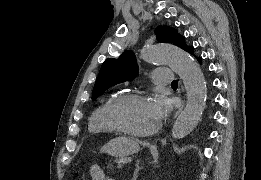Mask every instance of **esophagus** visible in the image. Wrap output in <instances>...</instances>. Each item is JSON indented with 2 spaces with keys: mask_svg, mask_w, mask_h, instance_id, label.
I'll use <instances>...</instances> for the list:
<instances>
[{
  "mask_svg": "<svg viewBox=\"0 0 261 180\" xmlns=\"http://www.w3.org/2000/svg\"><path fill=\"white\" fill-rule=\"evenodd\" d=\"M183 106H184V101L182 102V105H181V107L179 108L178 112L182 110ZM178 112H177V113H178Z\"/></svg>",
  "mask_w": 261,
  "mask_h": 180,
  "instance_id": "34e87169",
  "label": "esophagus"
}]
</instances>
